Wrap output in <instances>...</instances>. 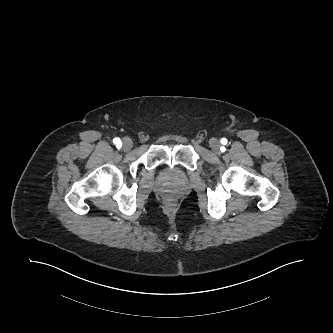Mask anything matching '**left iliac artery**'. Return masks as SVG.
I'll return each instance as SVG.
<instances>
[{
    "label": "left iliac artery",
    "mask_w": 333,
    "mask_h": 333,
    "mask_svg": "<svg viewBox=\"0 0 333 333\" xmlns=\"http://www.w3.org/2000/svg\"><path fill=\"white\" fill-rule=\"evenodd\" d=\"M221 143H222V144H226V143H227V139H226V138H222V139H221Z\"/></svg>",
    "instance_id": "left-iliac-artery-1"
}]
</instances>
